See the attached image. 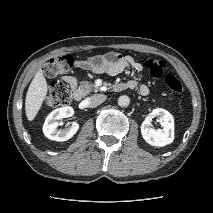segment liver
<instances>
[{
	"instance_id": "1",
	"label": "liver",
	"mask_w": 213,
	"mask_h": 213,
	"mask_svg": "<svg viewBox=\"0 0 213 213\" xmlns=\"http://www.w3.org/2000/svg\"><path fill=\"white\" fill-rule=\"evenodd\" d=\"M47 91V81L42 70L39 69L30 83L25 99V112L29 121L36 117L47 95Z\"/></svg>"
}]
</instances>
